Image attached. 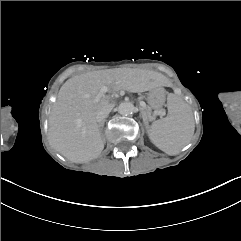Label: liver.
Returning <instances> with one entry per match:
<instances>
[{
  "instance_id": "6515ba94",
  "label": "liver",
  "mask_w": 241,
  "mask_h": 241,
  "mask_svg": "<svg viewBox=\"0 0 241 241\" xmlns=\"http://www.w3.org/2000/svg\"><path fill=\"white\" fill-rule=\"evenodd\" d=\"M154 72L137 69L99 70L76 75L60 88L50 117L48 141L61 155L74 163L97 158L104 140L96 115L113 108L107 91L137 93L157 86Z\"/></svg>"
}]
</instances>
